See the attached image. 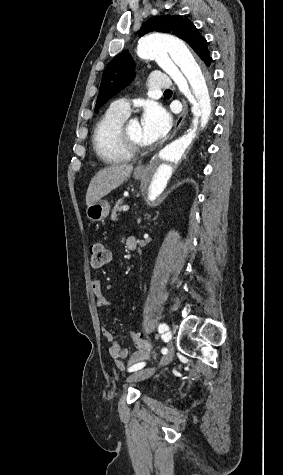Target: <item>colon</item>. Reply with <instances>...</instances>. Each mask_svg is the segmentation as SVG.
Masks as SVG:
<instances>
[{
	"label": "colon",
	"mask_w": 283,
	"mask_h": 475,
	"mask_svg": "<svg viewBox=\"0 0 283 475\" xmlns=\"http://www.w3.org/2000/svg\"><path fill=\"white\" fill-rule=\"evenodd\" d=\"M109 260V252L105 246L100 242H94L91 246V264L93 268H100ZM131 339L136 348L131 355L130 360L133 363H140L151 358L152 351L149 349L150 344L138 332L130 330Z\"/></svg>",
	"instance_id": "obj_1"
}]
</instances>
